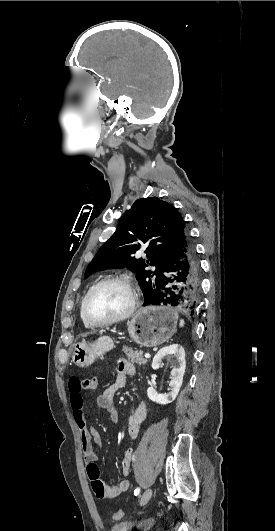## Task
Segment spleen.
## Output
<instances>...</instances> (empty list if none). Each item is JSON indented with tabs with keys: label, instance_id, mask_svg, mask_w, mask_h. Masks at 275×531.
<instances>
[{
	"label": "spleen",
	"instance_id": "3e777b00",
	"mask_svg": "<svg viewBox=\"0 0 275 531\" xmlns=\"http://www.w3.org/2000/svg\"><path fill=\"white\" fill-rule=\"evenodd\" d=\"M184 325H185V321H183V319H180L179 327H184Z\"/></svg>",
	"mask_w": 275,
	"mask_h": 531
}]
</instances>
